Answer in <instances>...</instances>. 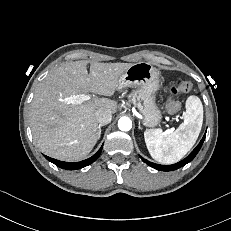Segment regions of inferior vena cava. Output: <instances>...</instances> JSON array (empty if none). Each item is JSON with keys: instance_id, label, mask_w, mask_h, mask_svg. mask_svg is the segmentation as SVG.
Here are the masks:
<instances>
[{"instance_id": "1", "label": "inferior vena cava", "mask_w": 231, "mask_h": 231, "mask_svg": "<svg viewBox=\"0 0 231 231\" xmlns=\"http://www.w3.org/2000/svg\"><path fill=\"white\" fill-rule=\"evenodd\" d=\"M96 120L99 123V125H105L109 124L112 120V114L108 110H98L95 113Z\"/></svg>"}]
</instances>
